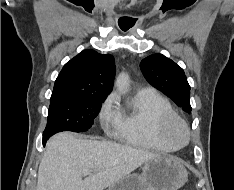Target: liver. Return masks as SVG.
Wrapping results in <instances>:
<instances>
[{"mask_svg":"<svg viewBox=\"0 0 234 190\" xmlns=\"http://www.w3.org/2000/svg\"><path fill=\"white\" fill-rule=\"evenodd\" d=\"M159 154L111 141L54 135L38 170L36 190H104ZM84 170L90 174L83 180Z\"/></svg>","mask_w":234,"mask_h":190,"instance_id":"6515ba94","label":"liver"}]
</instances>
